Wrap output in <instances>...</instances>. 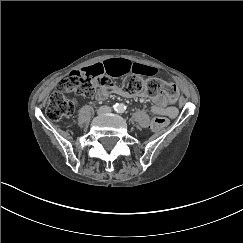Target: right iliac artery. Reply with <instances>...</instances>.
I'll use <instances>...</instances> for the list:
<instances>
[{"mask_svg": "<svg viewBox=\"0 0 243 243\" xmlns=\"http://www.w3.org/2000/svg\"><path fill=\"white\" fill-rule=\"evenodd\" d=\"M118 104L114 105V107H117Z\"/></svg>", "mask_w": 243, "mask_h": 243, "instance_id": "obj_1", "label": "right iliac artery"}]
</instances>
